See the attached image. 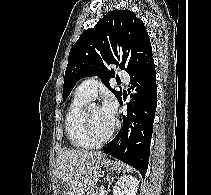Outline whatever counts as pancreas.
Segmentation results:
<instances>
[{"mask_svg": "<svg viewBox=\"0 0 211 195\" xmlns=\"http://www.w3.org/2000/svg\"><path fill=\"white\" fill-rule=\"evenodd\" d=\"M99 190H96V191H90L87 193V195H97Z\"/></svg>", "mask_w": 211, "mask_h": 195, "instance_id": "pancreas-1", "label": "pancreas"}]
</instances>
